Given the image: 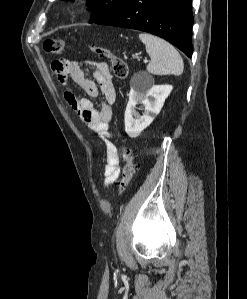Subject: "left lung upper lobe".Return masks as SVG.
Segmentation results:
<instances>
[{"label": "left lung upper lobe", "instance_id": "obj_1", "mask_svg": "<svg viewBox=\"0 0 247 299\" xmlns=\"http://www.w3.org/2000/svg\"><path fill=\"white\" fill-rule=\"evenodd\" d=\"M92 6V15L89 23H94L98 19L110 13L122 0H87Z\"/></svg>", "mask_w": 247, "mask_h": 299}]
</instances>
